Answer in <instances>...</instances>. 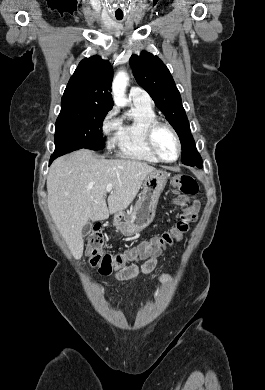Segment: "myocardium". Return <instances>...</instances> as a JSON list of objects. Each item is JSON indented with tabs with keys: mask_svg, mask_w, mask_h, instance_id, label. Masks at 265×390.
I'll use <instances>...</instances> for the list:
<instances>
[{
	"mask_svg": "<svg viewBox=\"0 0 265 390\" xmlns=\"http://www.w3.org/2000/svg\"><path fill=\"white\" fill-rule=\"evenodd\" d=\"M160 128H166L167 130H169L176 141L177 155L173 160H167V159L163 158L162 155L159 153V151L156 148L155 134H156L157 130ZM144 139H145V144H146L148 150L158 159V161L163 162V163H175L180 158V155L182 152L181 141H180V138H179L177 131L169 123L163 122L160 120H154V121L150 122L145 128Z\"/></svg>",
	"mask_w": 265,
	"mask_h": 390,
	"instance_id": "obj_1",
	"label": "myocardium"
}]
</instances>
